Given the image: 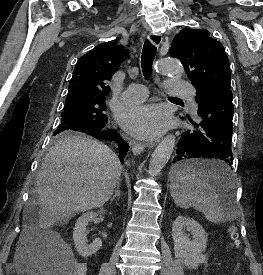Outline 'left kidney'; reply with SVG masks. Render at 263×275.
Masks as SVG:
<instances>
[{
  "mask_svg": "<svg viewBox=\"0 0 263 275\" xmlns=\"http://www.w3.org/2000/svg\"><path fill=\"white\" fill-rule=\"evenodd\" d=\"M185 228L191 232L192 240L184 232ZM172 237L175 260L178 263L196 269L199 264L207 261L203 255L207 247V235L198 222L189 217L178 216L172 226Z\"/></svg>",
  "mask_w": 263,
  "mask_h": 275,
  "instance_id": "5707ae66",
  "label": "left kidney"
}]
</instances>
